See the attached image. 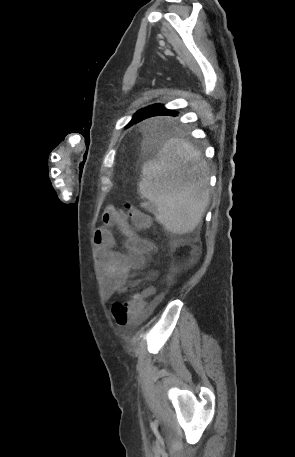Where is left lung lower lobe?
I'll use <instances>...</instances> for the list:
<instances>
[{
	"instance_id": "1",
	"label": "left lung lower lobe",
	"mask_w": 295,
	"mask_h": 457,
	"mask_svg": "<svg viewBox=\"0 0 295 457\" xmlns=\"http://www.w3.org/2000/svg\"><path fill=\"white\" fill-rule=\"evenodd\" d=\"M151 115H152L151 117H153V116H163V115L176 116L177 112L174 111V110H168L163 105L158 104V105H156L154 107Z\"/></svg>"
}]
</instances>
